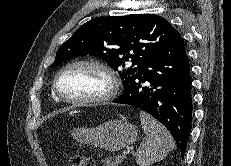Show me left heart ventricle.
I'll list each match as a JSON object with an SVG mask.
<instances>
[{
	"instance_id": "left-heart-ventricle-1",
	"label": "left heart ventricle",
	"mask_w": 231,
	"mask_h": 166,
	"mask_svg": "<svg viewBox=\"0 0 231 166\" xmlns=\"http://www.w3.org/2000/svg\"><path fill=\"white\" fill-rule=\"evenodd\" d=\"M58 86L64 97L82 99L104 93L109 82L106 75L95 67L76 66L60 76Z\"/></svg>"
}]
</instances>
